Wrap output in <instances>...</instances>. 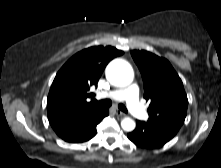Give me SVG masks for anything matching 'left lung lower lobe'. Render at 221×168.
Returning <instances> with one entry per match:
<instances>
[{"mask_svg": "<svg viewBox=\"0 0 221 168\" xmlns=\"http://www.w3.org/2000/svg\"><path fill=\"white\" fill-rule=\"evenodd\" d=\"M176 134L145 121H137L136 129L127 137L137 146L153 149L159 148Z\"/></svg>", "mask_w": 221, "mask_h": 168, "instance_id": "left-lung-lower-lobe-1", "label": "left lung lower lobe"}]
</instances>
